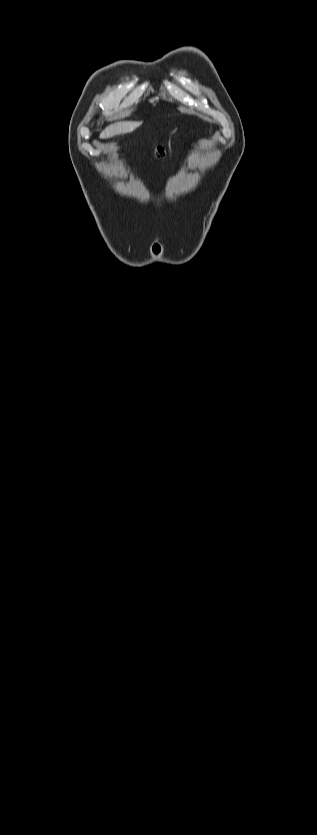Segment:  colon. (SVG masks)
Returning a JSON list of instances; mask_svg holds the SVG:
<instances>
[{"instance_id":"5ec220e1","label":"colon","mask_w":317,"mask_h":835,"mask_svg":"<svg viewBox=\"0 0 317 835\" xmlns=\"http://www.w3.org/2000/svg\"><path fill=\"white\" fill-rule=\"evenodd\" d=\"M156 154L158 157H163L165 155V149L162 147H158Z\"/></svg>"}]
</instances>
